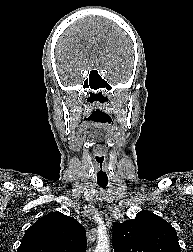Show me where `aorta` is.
Listing matches in <instances>:
<instances>
[{
	"label": "aorta",
	"instance_id": "aorta-1",
	"mask_svg": "<svg viewBox=\"0 0 193 252\" xmlns=\"http://www.w3.org/2000/svg\"><path fill=\"white\" fill-rule=\"evenodd\" d=\"M94 252H110L109 242L107 240L99 241Z\"/></svg>",
	"mask_w": 193,
	"mask_h": 252
}]
</instances>
